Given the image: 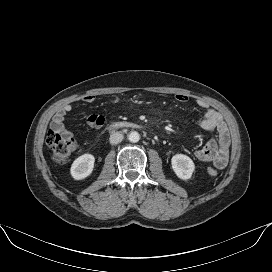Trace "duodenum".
Masks as SVG:
<instances>
[{
  "label": "duodenum",
  "mask_w": 272,
  "mask_h": 272,
  "mask_svg": "<svg viewBox=\"0 0 272 272\" xmlns=\"http://www.w3.org/2000/svg\"><path fill=\"white\" fill-rule=\"evenodd\" d=\"M138 125L130 122H114L110 124L109 129L110 130H116L120 128H137Z\"/></svg>",
  "instance_id": "obj_1"
}]
</instances>
